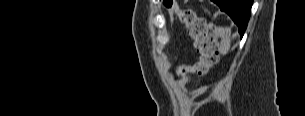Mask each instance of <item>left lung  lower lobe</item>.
Masks as SVG:
<instances>
[{
    "instance_id": "obj_1",
    "label": "left lung lower lobe",
    "mask_w": 305,
    "mask_h": 116,
    "mask_svg": "<svg viewBox=\"0 0 305 116\" xmlns=\"http://www.w3.org/2000/svg\"><path fill=\"white\" fill-rule=\"evenodd\" d=\"M213 2L237 24L242 37L250 18L253 0H213Z\"/></svg>"
}]
</instances>
